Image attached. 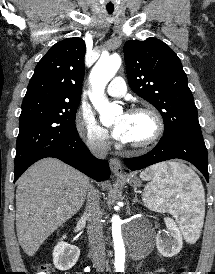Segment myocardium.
I'll list each match as a JSON object with an SVG mask.
<instances>
[{
  "label": "myocardium",
  "instance_id": "myocardium-1",
  "mask_svg": "<svg viewBox=\"0 0 215 274\" xmlns=\"http://www.w3.org/2000/svg\"><path fill=\"white\" fill-rule=\"evenodd\" d=\"M144 113L150 116L154 124V130L152 135L144 141L141 142H127V145L133 149L145 150L152 147L163 135L165 130V125L160 113L148 105L135 106L129 110V114Z\"/></svg>",
  "mask_w": 215,
  "mask_h": 274
}]
</instances>
